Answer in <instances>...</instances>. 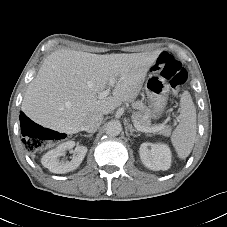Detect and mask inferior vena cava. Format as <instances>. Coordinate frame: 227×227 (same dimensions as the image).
Wrapping results in <instances>:
<instances>
[{"instance_id": "1", "label": "inferior vena cava", "mask_w": 227, "mask_h": 227, "mask_svg": "<svg viewBox=\"0 0 227 227\" xmlns=\"http://www.w3.org/2000/svg\"><path fill=\"white\" fill-rule=\"evenodd\" d=\"M103 121V114L101 113H94L89 115L83 125V130L88 133H94L100 127Z\"/></svg>"}]
</instances>
